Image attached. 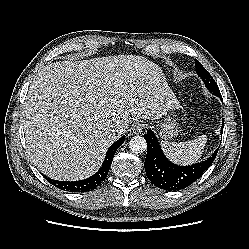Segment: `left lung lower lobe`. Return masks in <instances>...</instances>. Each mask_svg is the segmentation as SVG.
<instances>
[{
    "label": "left lung lower lobe",
    "instance_id": "left-lung-lower-lobe-1",
    "mask_svg": "<svg viewBox=\"0 0 249 249\" xmlns=\"http://www.w3.org/2000/svg\"><path fill=\"white\" fill-rule=\"evenodd\" d=\"M221 100V95L218 96ZM223 132V124L221 134ZM147 142V155L144 167L148 179L157 187L176 191L188 187L213 163L218 149L207 160L190 166H178L170 162L164 155L160 144L151 130L144 134Z\"/></svg>",
    "mask_w": 249,
    "mask_h": 249
}]
</instances>
